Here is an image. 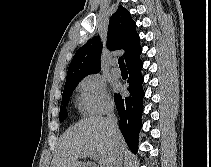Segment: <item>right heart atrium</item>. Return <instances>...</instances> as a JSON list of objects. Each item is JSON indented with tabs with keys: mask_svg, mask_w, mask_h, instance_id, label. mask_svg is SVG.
<instances>
[{
	"mask_svg": "<svg viewBox=\"0 0 211 167\" xmlns=\"http://www.w3.org/2000/svg\"><path fill=\"white\" fill-rule=\"evenodd\" d=\"M78 106L86 114L96 115L108 111L112 105L104 79L98 74L84 77L78 84Z\"/></svg>",
	"mask_w": 211,
	"mask_h": 167,
	"instance_id": "right-heart-atrium-1",
	"label": "right heart atrium"
}]
</instances>
